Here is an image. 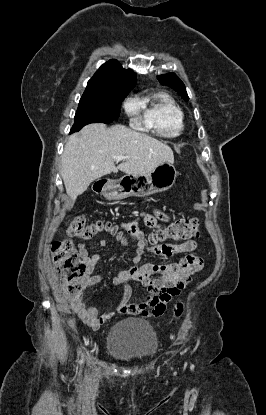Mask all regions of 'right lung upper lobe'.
Returning a JSON list of instances; mask_svg holds the SVG:
<instances>
[{
  "instance_id": "right-lung-upper-lobe-1",
  "label": "right lung upper lobe",
  "mask_w": 266,
  "mask_h": 415,
  "mask_svg": "<svg viewBox=\"0 0 266 415\" xmlns=\"http://www.w3.org/2000/svg\"><path fill=\"white\" fill-rule=\"evenodd\" d=\"M135 74L131 69H124L117 60H109L103 64L88 81L83 95L113 96L128 93L135 85Z\"/></svg>"
}]
</instances>
